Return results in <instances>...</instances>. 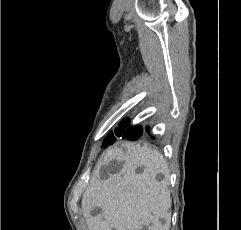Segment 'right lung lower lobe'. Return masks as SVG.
I'll list each match as a JSON object with an SVG mask.
<instances>
[{"label": "right lung lower lobe", "mask_w": 241, "mask_h": 230, "mask_svg": "<svg viewBox=\"0 0 241 230\" xmlns=\"http://www.w3.org/2000/svg\"><path fill=\"white\" fill-rule=\"evenodd\" d=\"M146 130L148 131L149 128L147 127ZM128 131L132 132L133 134L142 135L143 128L141 126L130 127L128 128Z\"/></svg>", "instance_id": "right-lung-lower-lobe-1"}]
</instances>
